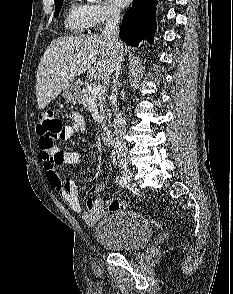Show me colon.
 Segmentation results:
<instances>
[{
  "instance_id": "obj_1",
  "label": "colon",
  "mask_w": 233,
  "mask_h": 294,
  "mask_svg": "<svg viewBox=\"0 0 233 294\" xmlns=\"http://www.w3.org/2000/svg\"><path fill=\"white\" fill-rule=\"evenodd\" d=\"M64 128L63 121L53 110L47 109L41 112L36 125L40 149L45 152L47 149H53L55 142L63 135ZM106 207L110 211H115L123 208V205L113 198L106 202Z\"/></svg>"
}]
</instances>
